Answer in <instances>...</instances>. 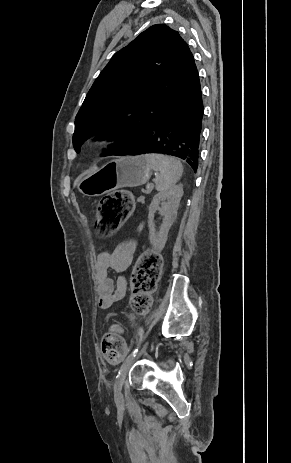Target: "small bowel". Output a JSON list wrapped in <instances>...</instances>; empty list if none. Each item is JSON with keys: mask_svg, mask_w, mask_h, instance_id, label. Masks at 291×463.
Instances as JSON below:
<instances>
[{"mask_svg": "<svg viewBox=\"0 0 291 463\" xmlns=\"http://www.w3.org/2000/svg\"><path fill=\"white\" fill-rule=\"evenodd\" d=\"M135 249V241L129 240L119 243L113 252L101 250L97 253L94 266V283L100 309L110 308L126 295L128 287L126 274L132 264ZM109 269L118 274L115 281L109 277Z\"/></svg>", "mask_w": 291, "mask_h": 463, "instance_id": "small-bowel-1", "label": "small bowel"}]
</instances>
